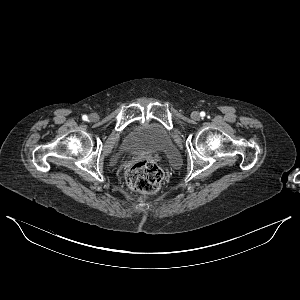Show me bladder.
<instances>
[{
  "mask_svg": "<svg viewBox=\"0 0 300 300\" xmlns=\"http://www.w3.org/2000/svg\"><path fill=\"white\" fill-rule=\"evenodd\" d=\"M125 146L131 152L156 153L173 149L169 131L158 122H146L134 128L126 138Z\"/></svg>",
  "mask_w": 300,
  "mask_h": 300,
  "instance_id": "1",
  "label": "bladder"
}]
</instances>
